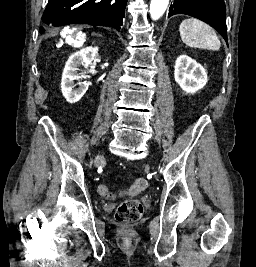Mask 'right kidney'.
Here are the masks:
<instances>
[{
  "instance_id": "1",
  "label": "right kidney",
  "mask_w": 256,
  "mask_h": 267,
  "mask_svg": "<svg viewBox=\"0 0 256 267\" xmlns=\"http://www.w3.org/2000/svg\"><path fill=\"white\" fill-rule=\"evenodd\" d=\"M99 48H83L80 52H75L68 62L65 64L64 72L62 74L61 88L64 98H66L69 104H76L84 96L88 90V82H82L83 78H86V70H80L83 74H78L77 70L83 66L88 68L94 60H99L98 54ZM74 80H78L77 84L79 88H75L76 84Z\"/></svg>"
}]
</instances>
